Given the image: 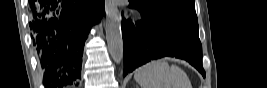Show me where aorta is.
<instances>
[{
	"label": "aorta",
	"instance_id": "aorta-1",
	"mask_svg": "<svg viewBox=\"0 0 267 88\" xmlns=\"http://www.w3.org/2000/svg\"><path fill=\"white\" fill-rule=\"evenodd\" d=\"M105 32L109 54L116 64H120L123 60L121 24L116 7L111 3L106 5Z\"/></svg>",
	"mask_w": 267,
	"mask_h": 88
}]
</instances>
